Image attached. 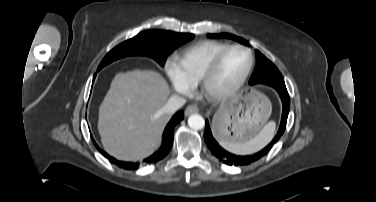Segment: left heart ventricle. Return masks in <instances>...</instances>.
Segmentation results:
<instances>
[{"instance_id": "1", "label": "left heart ventricle", "mask_w": 376, "mask_h": 202, "mask_svg": "<svg viewBox=\"0 0 376 202\" xmlns=\"http://www.w3.org/2000/svg\"><path fill=\"white\" fill-rule=\"evenodd\" d=\"M248 63L249 56L244 50L229 52L212 80V88L224 90L233 85L242 76Z\"/></svg>"}]
</instances>
